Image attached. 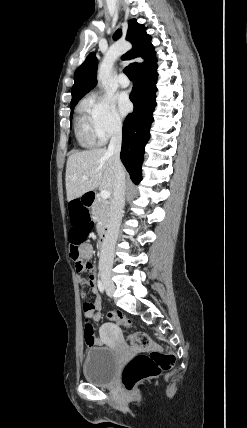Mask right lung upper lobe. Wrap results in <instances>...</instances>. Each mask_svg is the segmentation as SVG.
Returning <instances> with one entry per match:
<instances>
[{
	"mask_svg": "<svg viewBox=\"0 0 247 428\" xmlns=\"http://www.w3.org/2000/svg\"><path fill=\"white\" fill-rule=\"evenodd\" d=\"M121 36V30L114 34V40ZM127 40L133 45V48L122 56L123 60H130L136 57H142L143 63H131L132 70L139 66L149 63L155 59L154 47L151 44V36L145 31V26L137 23L135 19L129 21ZM97 59L94 53H91L84 63L75 72L74 85L71 90L72 100L70 105L78 101L92 88L95 87L97 80Z\"/></svg>",
	"mask_w": 247,
	"mask_h": 428,
	"instance_id": "cb5924a9",
	"label": "right lung upper lobe"
}]
</instances>
